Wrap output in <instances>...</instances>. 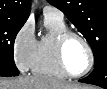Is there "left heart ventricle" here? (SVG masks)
<instances>
[{
	"label": "left heart ventricle",
	"mask_w": 107,
	"mask_h": 89,
	"mask_svg": "<svg viewBox=\"0 0 107 89\" xmlns=\"http://www.w3.org/2000/svg\"><path fill=\"white\" fill-rule=\"evenodd\" d=\"M65 62L73 74L83 72L89 63V55L85 45L77 38H71L65 47Z\"/></svg>",
	"instance_id": "b2bd125f"
}]
</instances>
